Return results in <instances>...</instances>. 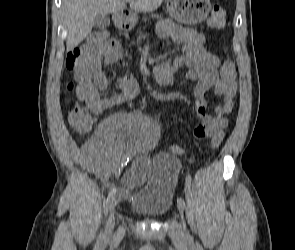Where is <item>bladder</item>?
<instances>
[{
	"label": "bladder",
	"instance_id": "1",
	"mask_svg": "<svg viewBox=\"0 0 295 250\" xmlns=\"http://www.w3.org/2000/svg\"><path fill=\"white\" fill-rule=\"evenodd\" d=\"M152 177L143 186H137L129 202V208L144 218L157 219L171 208L178 172L176 157L167 152L158 153L152 158Z\"/></svg>",
	"mask_w": 295,
	"mask_h": 250
}]
</instances>
